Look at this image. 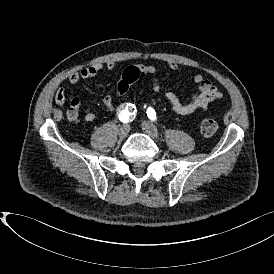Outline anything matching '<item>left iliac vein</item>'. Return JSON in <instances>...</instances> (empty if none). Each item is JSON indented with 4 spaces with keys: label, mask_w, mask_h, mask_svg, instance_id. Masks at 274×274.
I'll use <instances>...</instances> for the list:
<instances>
[{
    "label": "left iliac vein",
    "mask_w": 274,
    "mask_h": 274,
    "mask_svg": "<svg viewBox=\"0 0 274 274\" xmlns=\"http://www.w3.org/2000/svg\"><path fill=\"white\" fill-rule=\"evenodd\" d=\"M142 130L149 135L152 139H159V131L157 130L156 126L149 122V121H143L141 124Z\"/></svg>",
    "instance_id": "obj_1"
}]
</instances>
